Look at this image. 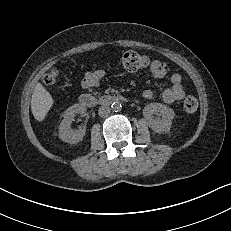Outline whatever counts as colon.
Wrapping results in <instances>:
<instances>
[{
	"label": "colon",
	"mask_w": 231,
	"mask_h": 231,
	"mask_svg": "<svg viewBox=\"0 0 231 231\" xmlns=\"http://www.w3.org/2000/svg\"><path fill=\"white\" fill-rule=\"evenodd\" d=\"M121 64L123 68L129 72H138L145 69L149 64L147 56L135 51H127L121 56ZM59 71L53 70L44 77V84L47 86L54 85L59 79ZM185 111L192 113L198 108V101L193 96H188L184 100Z\"/></svg>",
	"instance_id": "obj_1"
}]
</instances>
